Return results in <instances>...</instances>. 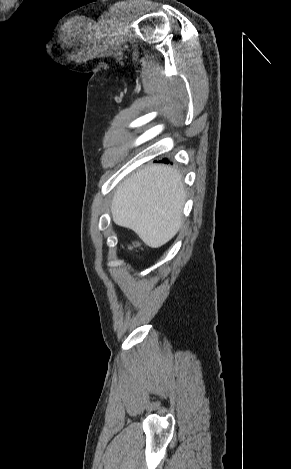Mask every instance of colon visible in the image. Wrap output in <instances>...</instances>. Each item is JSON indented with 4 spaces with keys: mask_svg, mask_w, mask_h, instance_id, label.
<instances>
[{
    "mask_svg": "<svg viewBox=\"0 0 291 469\" xmlns=\"http://www.w3.org/2000/svg\"><path fill=\"white\" fill-rule=\"evenodd\" d=\"M137 245H138V244H136V243L134 244V246H137Z\"/></svg>",
    "mask_w": 291,
    "mask_h": 469,
    "instance_id": "5ec220e1",
    "label": "colon"
}]
</instances>
